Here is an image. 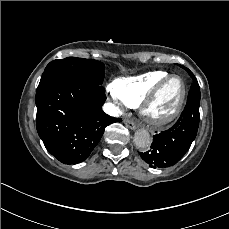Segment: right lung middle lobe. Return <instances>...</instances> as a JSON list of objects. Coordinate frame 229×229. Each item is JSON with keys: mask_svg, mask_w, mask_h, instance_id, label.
I'll use <instances>...</instances> for the list:
<instances>
[{"mask_svg": "<svg viewBox=\"0 0 229 229\" xmlns=\"http://www.w3.org/2000/svg\"><path fill=\"white\" fill-rule=\"evenodd\" d=\"M63 77H75L101 85L104 79V64L92 59L67 57L50 62L45 68L37 90Z\"/></svg>", "mask_w": 229, "mask_h": 229, "instance_id": "obj_1", "label": "right lung middle lobe"}]
</instances>
